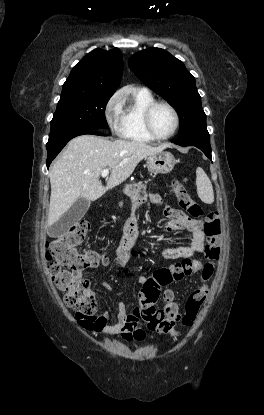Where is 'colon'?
<instances>
[{
	"instance_id": "5ec220e1",
	"label": "colon",
	"mask_w": 264,
	"mask_h": 415,
	"mask_svg": "<svg viewBox=\"0 0 264 415\" xmlns=\"http://www.w3.org/2000/svg\"><path fill=\"white\" fill-rule=\"evenodd\" d=\"M172 189L180 206L193 218L203 217L206 237L204 265L201 268L202 285L193 290L181 312L172 293H165L166 304L162 310L156 308L161 289L174 281L193 274L199 267L197 259H185L170 267L160 269L148 279L139 293L138 322L151 331L174 333L178 325L190 327L205 302L217 262L220 256L221 224L217 212L203 213L189 191L174 180ZM90 230L85 220L76 222L68 231L60 234L46 249V263L56 288L64 293V304L74 310V317L85 327L95 324L94 313L97 305L96 292L82 272L102 264L105 258L95 251L80 250Z\"/></svg>"
}]
</instances>
